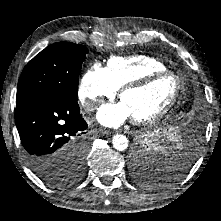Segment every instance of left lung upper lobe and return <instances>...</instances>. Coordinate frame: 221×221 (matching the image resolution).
I'll return each mask as SVG.
<instances>
[{"label":"left lung upper lobe","mask_w":221,"mask_h":221,"mask_svg":"<svg viewBox=\"0 0 221 221\" xmlns=\"http://www.w3.org/2000/svg\"><path fill=\"white\" fill-rule=\"evenodd\" d=\"M139 150L140 151L137 154V159L133 166L135 179L148 186L157 185V178L161 177L162 174L157 173V175H155V172L158 171H153L151 169V165L157 163V156L145 148H139Z\"/></svg>","instance_id":"1"}]
</instances>
